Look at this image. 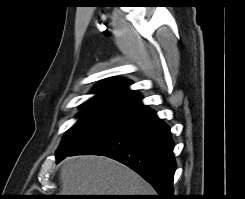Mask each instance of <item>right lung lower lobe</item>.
Returning a JSON list of instances; mask_svg holds the SVG:
<instances>
[{
	"mask_svg": "<svg viewBox=\"0 0 245 199\" xmlns=\"http://www.w3.org/2000/svg\"><path fill=\"white\" fill-rule=\"evenodd\" d=\"M173 147L170 128L153 110L146 109L128 116L100 138L69 155H102L115 159L149 182L158 193L156 199H175Z\"/></svg>",
	"mask_w": 245,
	"mask_h": 199,
	"instance_id": "obj_1",
	"label": "right lung lower lobe"
}]
</instances>
